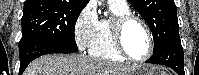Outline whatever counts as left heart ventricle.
Returning <instances> with one entry per match:
<instances>
[{"label":"left heart ventricle","mask_w":199,"mask_h":75,"mask_svg":"<svg viewBox=\"0 0 199 75\" xmlns=\"http://www.w3.org/2000/svg\"><path fill=\"white\" fill-rule=\"evenodd\" d=\"M127 52L133 58H141L148 51V38L143 27L137 22L129 23L123 35Z\"/></svg>","instance_id":"obj_1"}]
</instances>
